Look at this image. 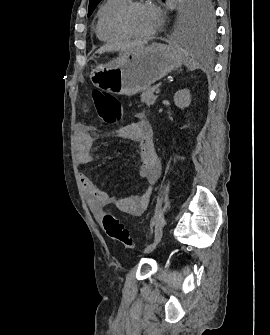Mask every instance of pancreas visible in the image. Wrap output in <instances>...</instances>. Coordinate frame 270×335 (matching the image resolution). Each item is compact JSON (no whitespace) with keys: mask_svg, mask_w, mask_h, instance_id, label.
I'll use <instances>...</instances> for the list:
<instances>
[{"mask_svg":"<svg viewBox=\"0 0 270 335\" xmlns=\"http://www.w3.org/2000/svg\"><path fill=\"white\" fill-rule=\"evenodd\" d=\"M158 86H153V88H148V90H143L141 94V102L147 104V106H153L155 104V100H157L158 96H154L155 90H157Z\"/></svg>","mask_w":270,"mask_h":335,"instance_id":"pancreas-1","label":"pancreas"}]
</instances>
